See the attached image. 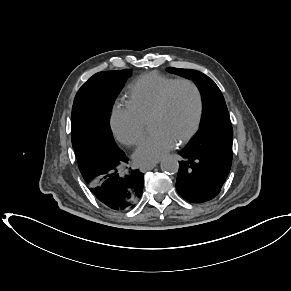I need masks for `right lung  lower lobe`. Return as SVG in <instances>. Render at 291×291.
Listing matches in <instances>:
<instances>
[{
	"instance_id": "98d812e1",
	"label": "right lung lower lobe",
	"mask_w": 291,
	"mask_h": 291,
	"mask_svg": "<svg viewBox=\"0 0 291 291\" xmlns=\"http://www.w3.org/2000/svg\"><path fill=\"white\" fill-rule=\"evenodd\" d=\"M128 163L123 154L118 159L100 162L81 174L94 196L105 206L115 211L133 208L142 196L144 174L137 170L122 172Z\"/></svg>"
}]
</instances>
